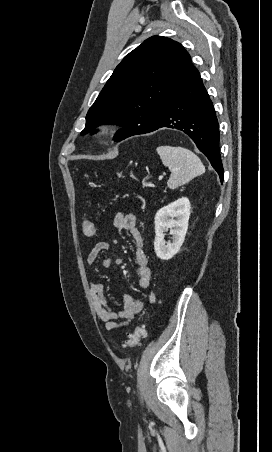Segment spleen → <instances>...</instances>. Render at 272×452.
<instances>
[{"instance_id":"spleen-1","label":"spleen","mask_w":272,"mask_h":452,"mask_svg":"<svg viewBox=\"0 0 272 452\" xmlns=\"http://www.w3.org/2000/svg\"><path fill=\"white\" fill-rule=\"evenodd\" d=\"M162 163L171 171L167 185L175 189L205 172L199 157L192 151L173 146H159L157 149Z\"/></svg>"}]
</instances>
